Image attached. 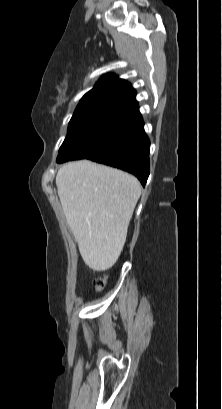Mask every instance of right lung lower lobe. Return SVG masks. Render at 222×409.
Listing matches in <instances>:
<instances>
[{
    "label": "right lung lower lobe",
    "mask_w": 222,
    "mask_h": 409,
    "mask_svg": "<svg viewBox=\"0 0 222 409\" xmlns=\"http://www.w3.org/2000/svg\"><path fill=\"white\" fill-rule=\"evenodd\" d=\"M143 126L138 106L125 111L114 123L102 145L85 159L132 173L145 186L150 173V141Z\"/></svg>",
    "instance_id": "right-lung-lower-lobe-1"
}]
</instances>
